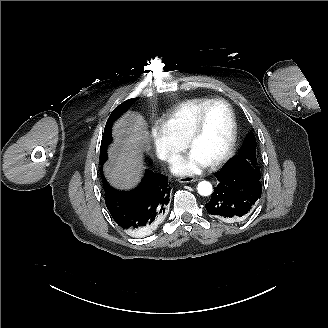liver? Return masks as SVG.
Listing matches in <instances>:
<instances>
[{
    "label": "liver",
    "mask_w": 328,
    "mask_h": 328,
    "mask_svg": "<svg viewBox=\"0 0 328 328\" xmlns=\"http://www.w3.org/2000/svg\"><path fill=\"white\" fill-rule=\"evenodd\" d=\"M117 144L111 149L112 162L106 168L108 178L117 187L137 182L141 171L140 152L147 148L149 133L139 114L128 113L115 127Z\"/></svg>",
    "instance_id": "6515ba94"
}]
</instances>
